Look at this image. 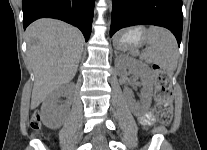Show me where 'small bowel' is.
<instances>
[{"label":"small bowel","instance_id":"c3829d8e","mask_svg":"<svg viewBox=\"0 0 207 150\" xmlns=\"http://www.w3.org/2000/svg\"><path fill=\"white\" fill-rule=\"evenodd\" d=\"M153 120H154V117L151 112H147L144 115L140 116V122L145 127L151 125Z\"/></svg>","mask_w":207,"mask_h":150}]
</instances>
